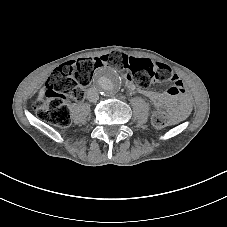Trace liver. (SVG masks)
<instances>
[{"instance_id": "1", "label": "liver", "mask_w": 227, "mask_h": 227, "mask_svg": "<svg viewBox=\"0 0 227 227\" xmlns=\"http://www.w3.org/2000/svg\"><path fill=\"white\" fill-rule=\"evenodd\" d=\"M44 96H45V88L43 87L39 90L37 101H42Z\"/></svg>"}]
</instances>
